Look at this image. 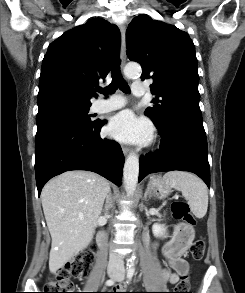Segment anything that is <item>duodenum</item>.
Segmentation results:
<instances>
[{"mask_svg": "<svg viewBox=\"0 0 245 293\" xmlns=\"http://www.w3.org/2000/svg\"><path fill=\"white\" fill-rule=\"evenodd\" d=\"M105 235V231H100L97 235V244L101 249H103L104 246Z\"/></svg>", "mask_w": 245, "mask_h": 293, "instance_id": "410a0bca", "label": "duodenum"}]
</instances>
